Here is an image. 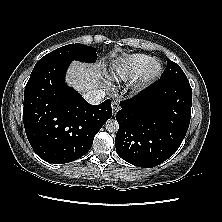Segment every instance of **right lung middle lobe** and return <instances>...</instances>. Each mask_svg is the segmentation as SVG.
Wrapping results in <instances>:
<instances>
[{
  "label": "right lung middle lobe",
  "mask_w": 222,
  "mask_h": 222,
  "mask_svg": "<svg viewBox=\"0 0 222 222\" xmlns=\"http://www.w3.org/2000/svg\"><path fill=\"white\" fill-rule=\"evenodd\" d=\"M96 49L82 44H70L60 47L42 57L34 69L55 62H71L73 60L94 63L97 59Z\"/></svg>",
  "instance_id": "right-lung-middle-lobe-1"
}]
</instances>
